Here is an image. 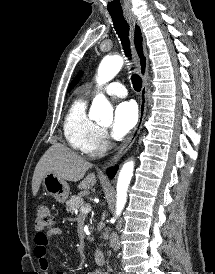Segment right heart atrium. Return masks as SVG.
I'll return each instance as SVG.
<instances>
[{"label": "right heart atrium", "mask_w": 215, "mask_h": 274, "mask_svg": "<svg viewBox=\"0 0 215 274\" xmlns=\"http://www.w3.org/2000/svg\"><path fill=\"white\" fill-rule=\"evenodd\" d=\"M109 146L110 141L107 131L99 127L91 139L88 153L92 155H100L104 153Z\"/></svg>", "instance_id": "1"}]
</instances>
